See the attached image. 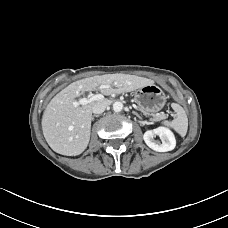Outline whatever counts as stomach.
Wrapping results in <instances>:
<instances>
[{
    "label": "stomach",
    "instance_id": "obj_1",
    "mask_svg": "<svg viewBox=\"0 0 228 228\" xmlns=\"http://www.w3.org/2000/svg\"><path fill=\"white\" fill-rule=\"evenodd\" d=\"M135 101L141 110L147 113H155L164 107L166 97L160 87L150 84L136 91Z\"/></svg>",
    "mask_w": 228,
    "mask_h": 228
}]
</instances>
